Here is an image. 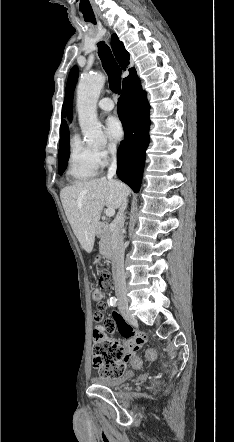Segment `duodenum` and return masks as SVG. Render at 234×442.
<instances>
[{
  "instance_id": "410a0bca",
  "label": "duodenum",
  "mask_w": 234,
  "mask_h": 442,
  "mask_svg": "<svg viewBox=\"0 0 234 442\" xmlns=\"http://www.w3.org/2000/svg\"><path fill=\"white\" fill-rule=\"evenodd\" d=\"M96 234L98 236L104 238L103 254L107 258L112 259V257H113V250H112V247L110 245V240H109V225L106 224V223H99L98 227H97Z\"/></svg>"
}]
</instances>
